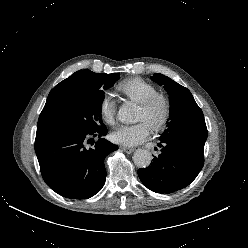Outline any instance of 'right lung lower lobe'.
Masks as SVG:
<instances>
[{
  "label": "right lung lower lobe",
  "instance_id": "right-lung-lower-lobe-1",
  "mask_svg": "<svg viewBox=\"0 0 248 248\" xmlns=\"http://www.w3.org/2000/svg\"><path fill=\"white\" fill-rule=\"evenodd\" d=\"M104 127L98 131L39 128L35 152L46 184L59 195L86 199L103 187L104 159L118 149L106 141Z\"/></svg>",
  "mask_w": 248,
  "mask_h": 248
}]
</instances>
